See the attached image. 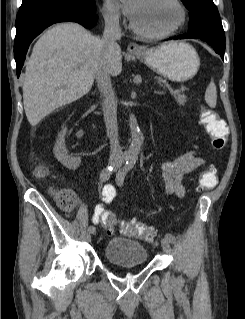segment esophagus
Wrapping results in <instances>:
<instances>
[{
  "label": "esophagus",
  "instance_id": "obj_1",
  "mask_svg": "<svg viewBox=\"0 0 245 319\" xmlns=\"http://www.w3.org/2000/svg\"><path fill=\"white\" fill-rule=\"evenodd\" d=\"M127 50H128L129 53H132V54L140 53V52L143 51L142 47L139 46L137 43H134V42H132V43H130L128 45Z\"/></svg>",
  "mask_w": 245,
  "mask_h": 319
}]
</instances>
